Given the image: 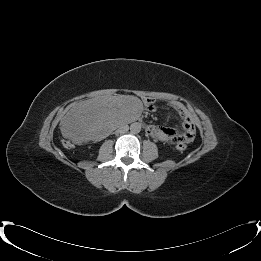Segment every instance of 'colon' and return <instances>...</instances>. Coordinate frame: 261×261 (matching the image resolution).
Returning a JSON list of instances; mask_svg holds the SVG:
<instances>
[{
  "mask_svg": "<svg viewBox=\"0 0 261 261\" xmlns=\"http://www.w3.org/2000/svg\"><path fill=\"white\" fill-rule=\"evenodd\" d=\"M187 142H185L184 140H182V139H177L176 141H175V145H176V149L178 150V151H185L186 150V148H187V144H186Z\"/></svg>",
  "mask_w": 261,
  "mask_h": 261,
  "instance_id": "5ec220e1",
  "label": "colon"
}]
</instances>
